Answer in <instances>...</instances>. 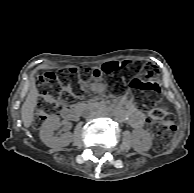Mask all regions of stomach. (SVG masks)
<instances>
[{"label":"stomach","mask_w":194,"mask_h":193,"mask_svg":"<svg viewBox=\"0 0 194 193\" xmlns=\"http://www.w3.org/2000/svg\"><path fill=\"white\" fill-rule=\"evenodd\" d=\"M88 87L96 92H104L106 90V85L101 82H93L88 84Z\"/></svg>","instance_id":"0dacf381"}]
</instances>
